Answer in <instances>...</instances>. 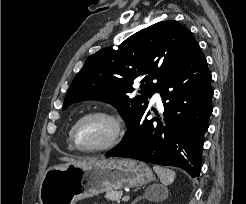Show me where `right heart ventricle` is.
I'll list each match as a JSON object with an SVG mask.
<instances>
[{"label": "right heart ventricle", "instance_id": "right-heart-ventricle-1", "mask_svg": "<svg viewBox=\"0 0 246 204\" xmlns=\"http://www.w3.org/2000/svg\"><path fill=\"white\" fill-rule=\"evenodd\" d=\"M70 131H71V130H70ZM70 131H69L68 145H69L70 147H72V143H71V140H70Z\"/></svg>", "mask_w": 246, "mask_h": 204}]
</instances>
